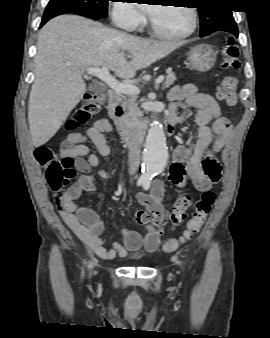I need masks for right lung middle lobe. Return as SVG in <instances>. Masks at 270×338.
<instances>
[{"mask_svg":"<svg viewBox=\"0 0 270 338\" xmlns=\"http://www.w3.org/2000/svg\"><path fill=\"white\" fill-rule=\"evenodd\" d=\"M110 0H50L46 12L91 13L100 17L107 16Z\"/></svg>","mask_w":270,"mask_h":338,"instance_id":"obj_1","label":"right lung middle lobe"}]
</instances>
